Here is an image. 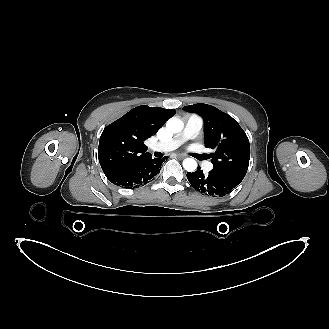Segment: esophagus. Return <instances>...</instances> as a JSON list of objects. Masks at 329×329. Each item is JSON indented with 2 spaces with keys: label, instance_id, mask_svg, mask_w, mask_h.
Listing matches in <instances>:
<instances>
[{
  "label": "esophagus",
  "instance_id": "1",
  "mask_svg": "<svg viewBox=\"0 0 329 329\" xmlns=\"http://www.w3.org/2000/svg\"><path fill=\"white\" fill-rule=\"evenodd\" d=\"M177 157L180 158V159H183V158H185L186 156L183 155V154H178Z\"/></svg>",
  "mask_w": 329,
  "mask_h": 329
}]
</instances>
